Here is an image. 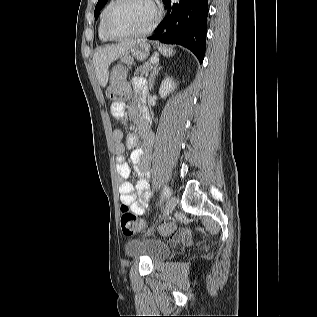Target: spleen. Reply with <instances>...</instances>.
<instances>
[{"mask_svg":"<svg viewBox=\"0 0 317 317\" xmlns=\"http://www.w3.org/2000/svg\"><path fill=\"white\" fill-rule=\"evenodd\" d=\"M160 51L163 53V55L165 56H170L173 53V50H171L170 48L167 49L166 47H162L160 48Z\"/></svg>","mask_w":317,"mask_h":317,"instance_id":"obj_1","label":"spleen"}]
</instances>
